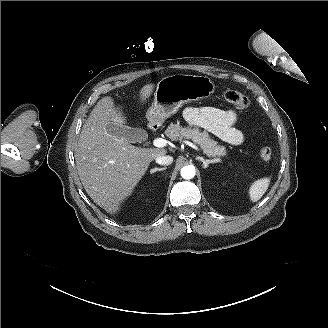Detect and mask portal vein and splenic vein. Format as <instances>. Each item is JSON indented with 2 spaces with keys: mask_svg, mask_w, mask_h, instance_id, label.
Segmentation results:
<instances>
[{
  "mask_svg": "<svg viewBox=\"0 0 328 328\" xmlns=\"http://www.w3.org/2000/svg\"><path fill=\"white\" fill-rule=\"evenodd\" d=\"M182 142L190 145V146H194V143L193 142H189L187 141V139H182ZM153 145L155 147H158V148H163L167 145V140L166 139H163V138H156L154 139L153 141Z\"/></svg>",
  "mask_w": 328,
  "mask_h": 328,
  "instance_id": "18ae733b",
  "label": "portal vein and splenic vein"
}]
</instances>
